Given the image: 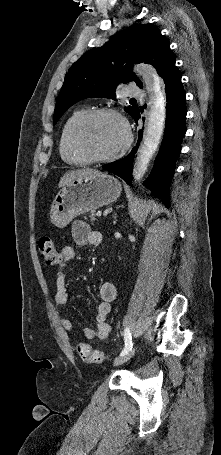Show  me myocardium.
<instances>
[{
    "label": "myocardium",
    "mask_w": 221,
    "mask_h": 455,
    "mask_svg": "<svg viewBox=\"0 0 221 455\" xmlns=\"http://www.w3.org/2000/svg\"><path fill=\"white\" fill-rule=\"evenodd\" d=\"M102 116H114L118 118L124 127L126 138L121 148L116 152L107 156H96L91 153L85 144V133L88 126ZM132 140L133 134L128 120L118 110L107 107L88 111L77 123L74 131V142L77 150L91 163H106L120 158L128 151Z\"/></svg>",
    "instance_id": "myocardium-1"
}]
</instances>
